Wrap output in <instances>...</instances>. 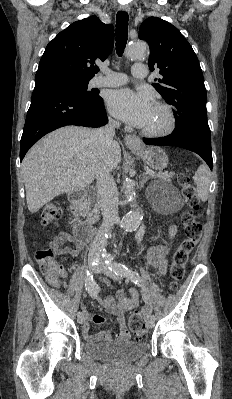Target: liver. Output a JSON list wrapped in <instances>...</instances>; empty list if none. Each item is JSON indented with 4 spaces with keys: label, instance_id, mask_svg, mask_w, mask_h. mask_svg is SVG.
Masks as SVG:
<instances>
[{
    "label": "liver",
    "instance_id": "liver-1",
    "mask_svg": "<svg viewBox=\"0 0 232 399\" xmlns=\"http://www.w3.org/2000/svg\"><path fill=\"white\" fill-rule=\"evenodd\" d=\"M95 132L66 126L47 134L29 150L22 162V176L31 213L55 196L84 190L98 170H116L121 158L118 142L104 146L94 138Z\"/></svg>",
    "mask_w": 232,
    "mask_h": 399
}]
</instances>
